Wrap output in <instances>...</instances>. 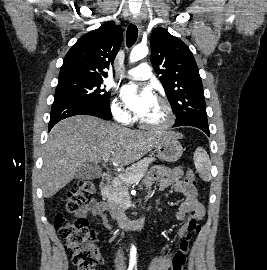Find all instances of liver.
Segmentation results:
<instances>
[{
    "label": "liver",
    "instance_id": "1",
    "mask_svg": "<svg viewBox=\"0 0 267 270\" xmlns=\"http://www.w3.org/2000/svg\"><path fill=\"white\" fill-rule=\"evenodd\" d=\"M174 132H147L77 115L60 121L49 133L43 154L41 180L43 196L50 198L65 187L82 165L97 164L111 156L118 165H129Z\"/></svg>",
    "mask_w": 267,
    "mask_h": 270
}]
</instances>
